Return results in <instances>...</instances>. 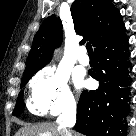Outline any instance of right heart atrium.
Returning <instances> with one entry per match:
<instances>
[{
    "mask_svg": "<svg viewBox=\"0 0 136 136\" xmlns=\"http://www.w3.org/2000/svg\"><path fill=\"white\" fill-rule=\"evenodd\" d=\"M76 101L69 88V77L60 69L45 68L30 82L29 109L35 115H58L73 111Z\"/></svg>",
    "mask_w": 136,
    "mask_h": 136,
    "instance_id": "obj_1",
    "label": "right heart atrium"
}]
</instances>
